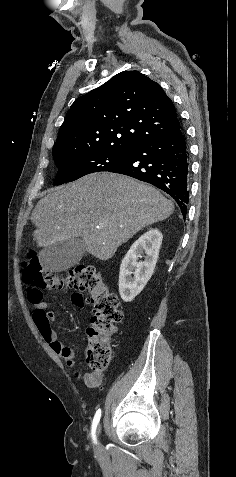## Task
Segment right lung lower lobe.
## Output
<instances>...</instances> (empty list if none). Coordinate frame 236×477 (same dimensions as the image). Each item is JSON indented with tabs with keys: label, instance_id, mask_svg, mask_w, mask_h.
Listing matches in <instances>:
<instances>
[{
	"label": "right lung lower lobe",
	"instance_id": "right-lung-lower-lobe-1",
	"mask_svg": "<svg viewBox=\"0 0 236 477\" xmlns=\"http://www.w3.org/2000/svg\"><path fill=\"white\" fill-rule=\"evenodd\" d=\"M127 161L109 172L150 183L169 194L186 217L189 201V151L178 122L166 135L131 149Z\"/></svg>",
	"mask_w": 236,
	"mask_h": 477
}]
</instances>
